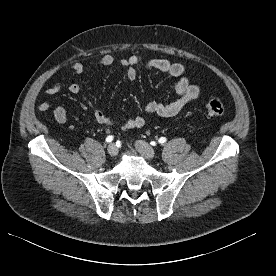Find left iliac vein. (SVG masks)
I'll list each match as a JSON object with an SVG mask.
<instances>
[{"label": "left iliac vein", "mask_w": 276, "mask_h": 276, "mask_svg": "<svg viewBox=\"0 0 276 276\" xmlns=\"http://www.w3.org/2000/svg\"><path fill=\"white\" fill-rule=\"evenodd\" d=\"M135 147L144 158L151 160L155 157V150L146 142L138 140L135 142Z\"/></svg>", "instance_id": "4c4485c4"}]
</instances>
